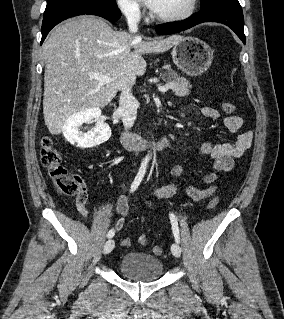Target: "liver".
Wrapping results in <instances>:
<instances>
[{
	"instance_id": "liver-1",
	"label": "liver",
	"mask_w": 284,
	"mask_h": 319,
	"mask_svg": "<svg viewBox=\"0 0 284 319\" xmlns=\"http://www.w3.org/2000/svg\"><path fill=\"white\" fill-rule=\"evenodd\" d=\"M181 38L142 41L86 15L55 27L43 44V114L49 132L60 134L74 113L105 107L120 89L132 87L136 76L145 73L142 54L163 53ZM94 74L108 76L112 82L101 85L91 77Z\"/></svg>"
}]
</instances>
